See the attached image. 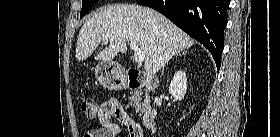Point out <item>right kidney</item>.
<instances>
[{
  "label": "right kidney",
  "instance_id": "ca27d5eb",
  "mask_svg": "<svg viewBox=\"0 0 280 137\" xmlns=\"http://www.w3.org/2000/svg\"><path fill=\"white\" fill-rule=\"evenodd\" d=\"M187 90V79L184 71L179 70L175 73L170 86L169 93L175 100H182Z\"/></svg>",
  "mask_w": 280,
  "mask_h": 137
}]
</instances>
